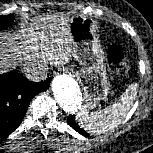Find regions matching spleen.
<instances>
[{"label":"spleen","instance_id":"obj_1","mask_svg":"<svg viewBox=\"0 0 153 153\" xmlns=\"http://www.w3.org/2000/svg\"><path fill=\"white\" fill-rule=\"evenodd\" d=\"M137 84L128 86L126 91L120 96L119 101L99 112L89 113L87 109H82L78 114L80 126L90 133L101 134L117 127L126 117L128 111L133 106L136 97Z\"/></svg>","mask_w":153,"mask_h":153}]
</instances>
